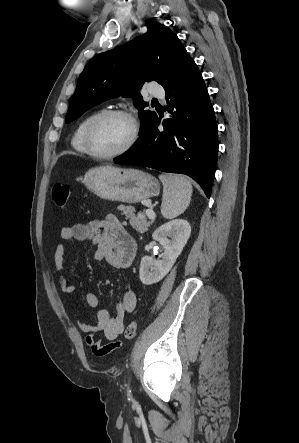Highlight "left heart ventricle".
<instances>
[{
  "mask_svg": "<svg viewBox=\"0 0 299 443\" xmlns=\"http://www.w3.org/2000/svg\"><path fill=\"white\" fill-rule=\"evenodd\" d=\"M131 123L120 116L103 118L94 128L92 145L95 151L108 154L121 149L129 140Z\"/></svg>",
  "mask_w": 299,
  "mask_h": 443,
  "instance_id": "1",
  "label": "left heart ventricle"
}]
</instances>
